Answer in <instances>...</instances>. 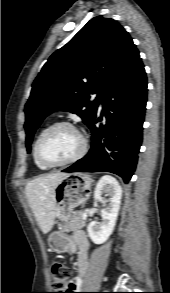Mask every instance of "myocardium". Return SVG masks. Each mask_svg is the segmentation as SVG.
<instances>
[{"label": "myocardium", "mask_w": 170, "mask_h": 293, "mask_svg": "<svg viewBox=\"0 0 170 293\" xmlns=\"http://www.w3.org/2000/svg\"><path fill=\"white\" fill-rule=\"evenodd\" d=\"M61 127L70 128L73 131H75L76 133H78V135L80 136L81 141H82V147H81L80 151L70 159H67V160L62 161V162H50V161H47V160H45L43 158L42 153H41L42 143H43L44 139L52 131H54L55 129L61 128ZM87 147H88V144H87L86 138L83 136V134L73 124H71L69 122H64V121L63 122H56V123L50 125L49 127H47L41 133V135L39 136V138L37 140V143H36V147H35V157H36L37 161L41 165H43V166H45L47 168H57V167H62V166L69 165V164L74 163V162L78 161L79 159H81L85 155V153L87 151Z\"/></svg>", "instance_id": "obj_1"}]
</instances>
